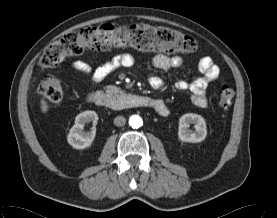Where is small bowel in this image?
Instances as JSON below:
<instances>
[{
    "instance_id": "small-bowel-1",
    "label": "small bowel",
    "mask_w": 277,
    "mask_h": 218,
    "mask_svg": "<svg viewBox=\"0 0 277 218\" xmlns=\"http://www.w3.org/2000/svg\"><path fill=\"white\" fill-rule=\"evenodd\" d=\"M134 63V56L129 53H124L115 56L110 61L97 67H93L87 61L75 60L71 63V68L77 73L89 78L93 84H97L108 77L118 67H132ZM153 65L162 70L179 68L183 65V58L179 55L166 56L158 54L153 58ZM198 69L202 74L199 78L192 82L181 79L176 81L174 86L177 90L190 92L192 102L196 106L204 108L208 105L206 94L208 85L219 78L220 69L207 56L200 59ZM149 84L153 89H161L164 86V81L157 76H152L149 78ZM160 101L162 105L157 111L160 114H165L167 112V105L162 100Z\"/></svg>"
}]
</instances>
